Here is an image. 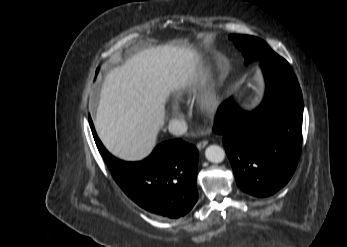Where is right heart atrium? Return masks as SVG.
<instances>
[{"instance_id":"1","label":"right heart atrium","mask_w":347,"mask_h":247,"mask_svg":"<svg viewBox=\"0 0 347 247\" xmlns=\"http://www.w3.org/2000/svg\"><path fill=\"white\" fill-rule=\"evenodd\" d=\"M171 113L175 117H179V116L182 115L181 110L178 107H176V106L172 108Z\"/></svg>"}]
</instances>
